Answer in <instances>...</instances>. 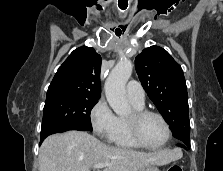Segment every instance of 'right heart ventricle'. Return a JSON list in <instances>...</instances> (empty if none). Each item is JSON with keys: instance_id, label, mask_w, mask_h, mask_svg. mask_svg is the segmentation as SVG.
Returning <instances> with one entry per match:
<instances>
[{"instance_id": "right-heart-ventricle-1", "label": "right heart ventricle", "mask_w": 223, "mask_h": 171, "mask_svg": "<svg viewBox=\"0 0 223 171\" xmlns=\"http://www.w3.org/2000/svg\"><path fill=\"white\" fill-rule=\"evenodd\" d=\"M134 109H143L144 105H138L131 102ZM109 142L114 146L122 149H139L138 146L130 137L125 119L122 117H117V126L116 129L109 139Z\"/></svg>"}]
</instances>
